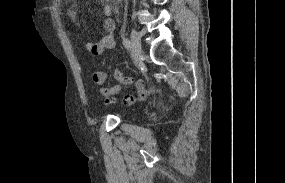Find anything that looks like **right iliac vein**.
<instances>
[{"mask_svg": "<svg viewBox=\"0 0 285 183\" xmlns=\"http://www.w3.org/2000/svg\"><path fill=\"white\" fill-rule=\"evenodd\" d=\"M131 39H132V59L135 64H138L141 55H142V47L139 33L132 29L131 31Z\"/></svg>", "mask_w": 285, "mask_h": 183, "instance_id": "1", "label": "right iliac vein"}]
</instances>
